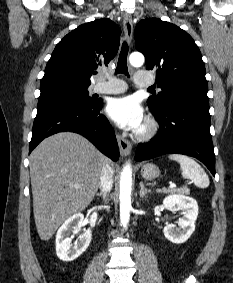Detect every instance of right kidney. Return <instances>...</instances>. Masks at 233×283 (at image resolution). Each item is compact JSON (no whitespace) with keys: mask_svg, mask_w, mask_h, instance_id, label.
<instances>
[{"mask_svg":"<svg viewBox=\"0 0 233 283\" xmlns=\"http://www.w3.org/2000/svg\"><path fill=\"white\" fill-rule=\"evenodd\" d=\"M84 216L76 213L69 217L59 228L56 234V254L62 261L70 262L78 258L89 246L92 239L90 229L85 231L81 238L72 243L70 235L78 230L83 224ZM97 220V213L93 212L90 223Z\"/></svg>","mask_w":233,"mask_h":283,"instance_id":"obj_1","label":"right kidney"}]
</instances>
